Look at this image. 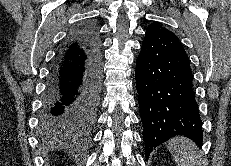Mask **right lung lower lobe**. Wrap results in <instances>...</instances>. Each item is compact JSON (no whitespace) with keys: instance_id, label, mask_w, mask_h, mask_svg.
<instances>
[{"instance_id":"1","label":"right lung lower lobe","mask_w":231,"mask_h":166,"mask_svg":"<svg viewBox=\"0 0 231 166\" xmlns=\"http://www.w3.org/2000/svg\"><path fill=\"white\" fill-rule=\"evenodd\" d=\"M100 95L99 37L93 25L75 29L54 61L40 113L48 136H73L93 124Z\"/></svg>"}]
</instances>
